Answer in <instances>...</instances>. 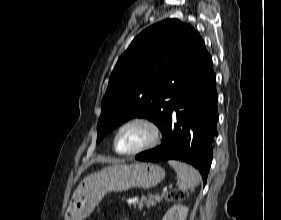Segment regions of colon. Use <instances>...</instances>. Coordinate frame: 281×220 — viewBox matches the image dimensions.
Masks as SVG:
<instances>
[{"mask_svg": "<svg viewBox=\"0 0 281 220\" xmlns=\"http://www.w3.org/2000/svg\"><path fill=\"white\" fill-rule=\"evenodd\" d=\"M186 197V193L181 190H174L169 194V198L172 200H183Z\"/></svg>", "mask_w": 281, "mask_h": 220, "instance_id": "5ec220e1", "label": "colon"}]
</instances>
